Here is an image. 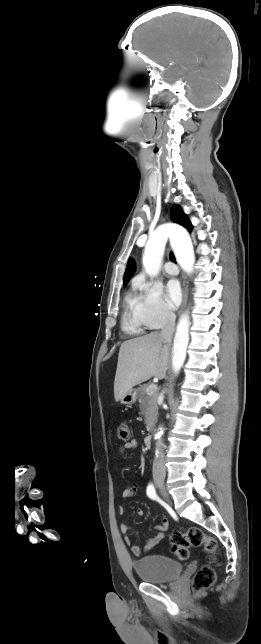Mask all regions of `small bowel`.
<instances>
[{
    "label": "small bowel",
    "mask_w": 261,
    "mask_h": 644,
    "mask_svg": "<svg viewBox=\"0 0 261 644\" xmlns=\"http://www.w3.org/2000/svg\"><path fill=\"white\" fill-rule=\"evenodd\" d=\"M137 445H138V443H137L136 440H131V441L125 443L124 445H122L120 447V449H119V452L123 456L126 451L134 450L137 447ZM137 489H138L137 485H132L130 487L125 488L123 490V492H122V497L124 499H129V498L133 497L134 494L136 493ZM120 511L124 512V507H121ZM136 514L138 516L144 515L143 509L142 508H137L136 509ZM167 528H168V520H167V518L163 517V518H161L160 524H158L155 527V530L157 531L156 536H154L153 538L147 539L145 541L143 547H140L139 545H131V552L134 555L139 556L143 552H148V551L154 549L163 540L164 531H166ZM120 530L125 535L126 543L130 545L131 544V538L129 536V533L132 530L131 526L128 525V524L123 523V524L120 525Z\"/></svg>",
    "instance_id": "1"
}]
</instances>
